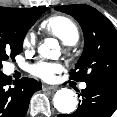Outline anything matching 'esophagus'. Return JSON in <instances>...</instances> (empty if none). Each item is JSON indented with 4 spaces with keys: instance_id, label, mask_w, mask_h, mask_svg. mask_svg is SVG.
Segmentation results:
<instances>
[{
    "instance_id": "34e87169",
    "label": "esophagus",
    "mask_w": 117,
    "mask_h": 117,
    "mask_svg": "<svg viewBox=\"0 0 117 117\" xmlns=\"http://www.w3.org/2000/svg\"><path fill=\"white\" fill-rule=\"evenodd\" d=\"M42 88H43V90H45V91H54V90L57 89V86H51V85H46V84H44V85L42 86Z\"/></svg>"
}]
</instances>
